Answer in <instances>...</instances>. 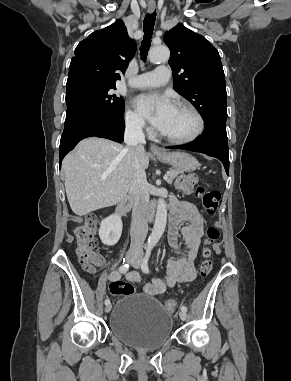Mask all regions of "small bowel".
Here are the masks:
<instances>
[{"mask_svg": "<svg viewBox=\"0 0 291 381\" xmlns=\"http://www.w3.org/2000/svg\"><path fill=\"white\" fill-rule=\"evenodd\" d=\"M182 222L186 224L180 228ZM202 233L203 219L196 206L189 202L175 203L169 218V242L175 250H184V256L169 261L167 275L164 278L144 282L139 273L128 272L125 275L126 280L140 284L144 293L151 296L162 294L167 287L173 286L176 282L193 280L196 277L195 261ZM181 236L183 242L180 240ZM119 278L120 274L116 271H112L109 275L111 281Z\"/></svg>", "mask_w": 291, "mask_h": 381, "instance_id": "obj_1", "label": "small bowel"}]
</instances>
